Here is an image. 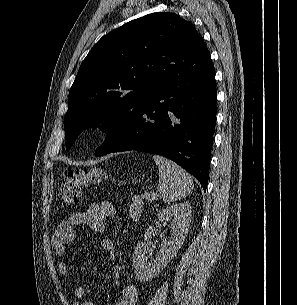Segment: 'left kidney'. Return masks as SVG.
Here are the masks:
<instances>
[{"mask_svg":"<svg viewBox=\"0 0 297 305\" xmlns=\"http://www.w3.org/2000/svg\"><path fill=\"white\" fill-rule=\"evenodd\" d=\"M192 207L188 202L167 207L159 212L158 220L163 225L172 222L174 227L168 241L163 242L162 249L157 253L156 258L147 263L146 251L149 249L147 241L154 233V228L149 227L144 234V242L137 244L133 254V266L136 277L141 282H147L157 276L163 268L177 254L183 244L191 222Z\"/></svg>","mask_w":297,"mask_h":305,"instance_id":"5707ae66","label":"left kidney"}]
</instances>
